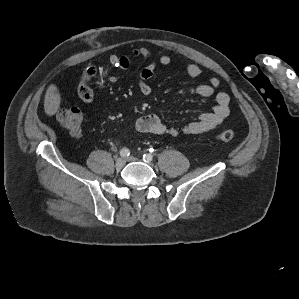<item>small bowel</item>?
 I'll return each instance as SVG.
<instances>
[{"mask_svg":"<svg viewBox=\"0 0 299 299\" xmlns=\"http://www.w3.org/2000/svg\"><path fill=\"white\" fill-rule=\"evenodd\" d=\"M135 57L150 59L149 64L144 67L139 74L138 87L140 92L148 96L151 94V87L148 80L153 76V73L158 65L169 66L172 60L167 55H162L157 58H151V52L145 47L135 48L132 51ZM110 65L115 68L117 73H110L106 78L111 83H116L120 79V73L127 70L130 65V59L127 55L113 54L109 58ZM186 73L196 78L202 75L203 71L197 64H187L185 66ZM97 74V68L92 66L84 70L83 78L78 86V97L84 103H91L94 99V92L89 82ZM219 79L211 77L207 84L198 85L195 87L184 88L179 90V95L191 94L202 97H215V106L212 111L205 112L199 117L187 123L186 125L176 128L169 127L163 123L158 115L150 114L140 117L136 121V129L141 133L155 135H170L178 136L179 134L194 135L213 130L220 125L230 114L229 102L230 97L225 92H218Z\"/></svg>","mask_w":299,"mask_h":299,"instance_id":"small-bowel-1","label":"small bowel"}]
</instances>
